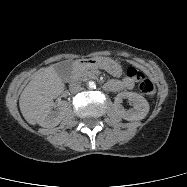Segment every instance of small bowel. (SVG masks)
<instances>
[{"instance_id":"obj_1","label":"small bowel","mask_w":187,"mask_h":187,"mask_svg":"<svg viewBox=\"0 0 187 187\" xmlns=\"http://www.w3.org/2000/svg\"><path fill=\"white\" fill-rule=\"evenodd\" d=\"M134 87V80L127 77L121 80H111L106 84V89L110 91L130 90Z\"/></svg>"}]
</instances>
